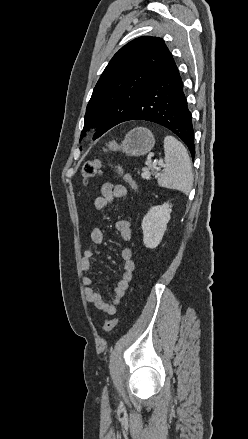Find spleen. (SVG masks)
<instances>
[{
  "label": "spleen",
  "mask_w": 248,
  "mask_h": 439,
  "mask_svg": "<svg viewBox=\"0 0 248 439\" xmlns=\"http://www.w3.org/2000/svg\"><path fill=\"white\" fill-rule=\"evenodd\" d=\"M164 154L165 169L158 176V184L188 195L193 186V173L186 148L176 138L166 136Z\"/></svg>",
  "instance_id": "3e777b00"
}]
</instances>
